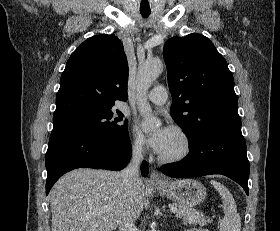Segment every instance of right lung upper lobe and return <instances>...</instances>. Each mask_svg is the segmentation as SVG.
I'll list each match as a JSON object with an SVG mask.
<instances>
[{"label":"right lung upper lobe","mask_w":280,"mask_h":231,"mask_svg":"<svg viewBox=\"0 0 280 231\" xmlns=\"http://www.w3.org/2000/svg\"><path fill=\"white\" fill-rule=\"evenodd\" d=\"M127 83L122 42L107 34L87 39L66 63L53 122L112 112L115 100H127Z\"/></svg>","instance_id":"obj_1"}]
</instances>
